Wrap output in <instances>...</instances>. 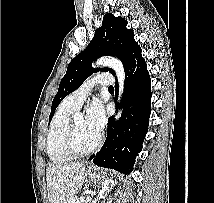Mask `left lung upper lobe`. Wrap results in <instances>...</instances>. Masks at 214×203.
<instances>
[{
  "instance_id": "1",
  "label": "left lung upper lobe",
  "mask_w": 214,
  "mask_h": 203,
  "mask_svg": "<svg viewBox=\"0 0 214 203\" xmlns=\"http://www.w3.org/2000/svg\"><path fill=\"white\" fill-rule=\"evenodd\" d=\"M127 20L115 17L113 14H106L100 28L95 31V35L87 48L78 54L67 67L66 74L62 78L58 92L53 99L49 122L54 111L60 102L70 93L79 88L84 80L93 72L99 69L92 68V62L97 57L111 55L118 57L127 68L131 59L141 50L134 40V33L127 29ZM100 71H109L115 75L110 68H100Z\"/></svg>"
}]
</instances>
